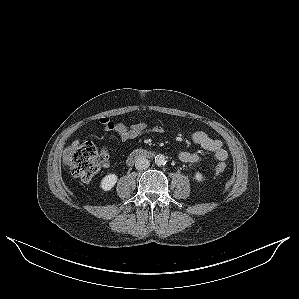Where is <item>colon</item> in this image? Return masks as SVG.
Instances as JSON below:
<instances>
[{
    "label": "colon",
    "instance_id": "obj_1",
    "mask_svg": "<svg viewBox=\"0 0 299 299\" xmlns=\"http://www.w3.org/2000/svg\"><path fill=\"white\" fill-rule=\"evenodd\" d=\"M108 160L101 150L90 141L72 144L64 153L63 161L74 177L82 182L90 181ZM226 169V164L220 162L215 170L217 174Z\"/></svg>",
    "mask_w": 299,
    "mask_h": 299
}]
</instances>
